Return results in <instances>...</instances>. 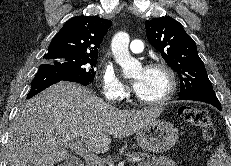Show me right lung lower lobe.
Here are the masks:
<instances>
[{
    "label": "right lung lower lobe",
    "mask_w": 231,
    "mask_h": 166,
    "mask_svg": "<svg viewBox=\"0 0 231 166\" xmlns=\"http://www.w3.org/2000/svg\"><path fill=\"white\" fill-rule=\"evenodd\" d=\"M59 81H72L82 85L91 83L80 75L68 72L53 65L42 64L39 66L38 72L31 83V90L28 93L27 99Z\"/></svg>",
    "instance_id": "right-lung-lower-lobe-1"
}]
</instances>
